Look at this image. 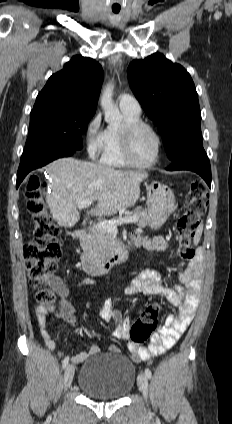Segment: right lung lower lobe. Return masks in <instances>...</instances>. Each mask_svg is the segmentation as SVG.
<instances>
[{
	"label": "right lung lower lobe",
	"mask_w": 232,
	"mask_h": 424,
	"mask_svg": "<svg viewBox=\"0 0 232 424\" xmlns=\"http://www.w3.org/2000/svg\"><path fill=\"white\" fill-rule=\"evenodd\" d=\"M77 151V149L72 148H44L35 151L24 159H21L17 173L16 187L18 188L22 180L30 171L40 168L58 158L71 156Z\"/></svg>",
	"instance_id": "obj_1"
}]
</instances>
